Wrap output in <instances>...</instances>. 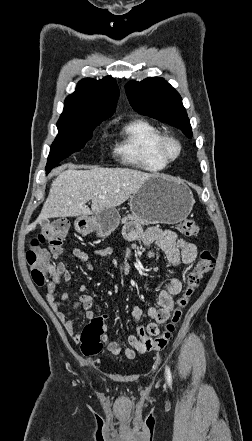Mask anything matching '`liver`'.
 Here are the masks:
<instances>
[{
    "mask_svg": "<svg viewBox=\"0 0 252 441\" xmlns=\"http://www.w3.org/2000/svg\"><path fill=\"white\" fill-rule=\"evenodd\" d=\"M152 176L119 167L60 171L51 183L41 213L26 231L34 230L38 223L49 218L88 216L120 206ZM89 200L92 201L91 209L86 205Z\"/></svg>",
    "mask_w": 252,
    "mask_h": 441,
    "instance_id": "1",
    "label": "liver"
}]
</instances>
